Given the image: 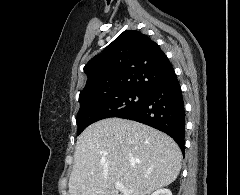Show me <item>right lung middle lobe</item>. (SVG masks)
I'll list each match as a JSON object with an SVG mask.
<instances>
[{
  "label": "right lung middle lobe",
  "mask_w": 240,
  "mask_h": 195,
  "mask_svg": "<svg viewBox=\"0 0 240 195\" xmlns=\"http://www.w3.org/2000/svg\"><path fill=\"white\" fill-rule=\"evenodd\" d=\"M145 91L124 89L110 95L79 100L77 114L79 135L87 126L101 119L117 117L138 106L146 97Z\"/></svg>",
  "instance_id": "obj_1"
}]
</instances>
